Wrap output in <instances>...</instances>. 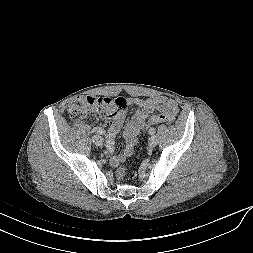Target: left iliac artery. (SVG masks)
Segmentation results:
<instances>
[{"label":"left iliac artery","mask_w":253,"mask_h":253,"mask_svg":"<svg viewBox=\"0 0 253 253\" xmlns=\"http://www.w3.org/2000/svg\"><path fill=\"white\" fill-rule=\"evenodd\" d=\"M148 133L150 134V135H153L154 133H155V128H150L149 129V131H148Z\"/></svg>","instance_id":"obj_1"}]
</instances>
